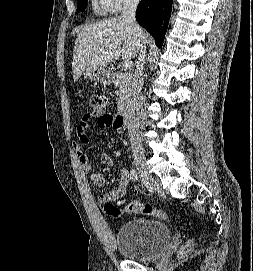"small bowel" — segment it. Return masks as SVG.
Returning <instances> with one entry per match:
<instances>
[{
  "instance_id": "c3829d8e",
  "label": "small bowel",
  "mask_w": 253,
  "mask_h": 271,
  "mask_svg": "<svg viewBox=\"0 0 253 271\" xmlns=\"http://www.w3.org/2000/svg\"><path fill=\"white\" fill-rule=\"evenodd\" d=\"M95 117L94 113H85L80 118L79 124L76 128V132L80 140L84 143H88L90 141L88 137V129L90 127L91 120ZM98 126L100 128H110L116 127L114 118L111 114H102L98 118ZM74 150L76 152L77 158L83 168L87 171L91 170L92 164L88 155L83 151L81 146L78 143H73ZM101 163L105 165H112V159L104 154L100 159ZM91 181L98 187H102L106 183L105 175L103 172L97 171L93 172L90 175ZM131 180V175L129 171L125 168L120 170V178L117 187H115L112 191L101 194L99 196V201L104 204L105 211L113 216V217H120L124 215L127 211L125 209H120L117 207L108 208L109 204L112 202L117 201L125 196L126 189Z\"/></svg>"
}]
</instances>
